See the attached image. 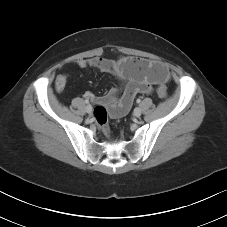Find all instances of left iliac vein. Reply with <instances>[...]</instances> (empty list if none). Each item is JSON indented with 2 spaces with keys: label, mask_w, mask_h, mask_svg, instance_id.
Instances as JSON below:
<instances>
[{
  "label": "left iliac vein",
  "mask_w": 227,
  "mask_h": 227,
  "mask_svg": "<svg viewBox=\"0 0 227 227\" xmlns=\"http://www.w3.org/2000/svg\"><path fill=\"white\" fill-rule=\"evenodd\" d=\"M141 113H142V111H141V109L139 107L134 109L133 114H134L135 117H140Z\"/></svg>",
  "instance_id": "obj_1"
}]
</instances>
